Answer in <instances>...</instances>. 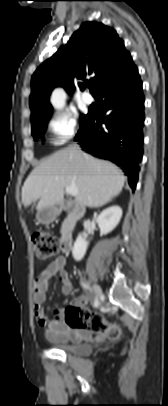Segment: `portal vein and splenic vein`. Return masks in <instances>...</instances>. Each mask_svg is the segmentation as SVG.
<instances>
[{"label":"portal vein and splenic vein","instance_id":"portal-vein-and-splenic-vein-1","mask_svg":"<svg viewBox=\"0 0 168 406\" xmlns=\"http://www.w3.org/2000/svg\"><path fill=\"white\" fill-rule=\"evenodd\" d=\"M65 190L72 196H76L78 194V188L75 185L67 186Z\"/></svg>","mask_w":168,"mask_h":406}]
</instances>
